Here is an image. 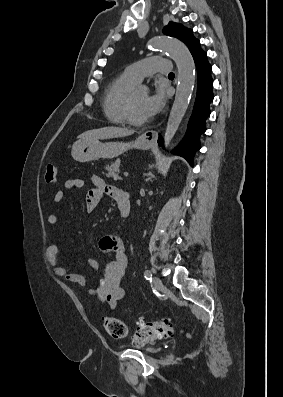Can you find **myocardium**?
<instances>
[{
	"label": "myocardium",
	"instance_id": "f54148a6",
	"mask_svg": "<svg viewBox=\"0 0 283 397\" xmlns=\"http://www.w3.org/2000/svg\"><path fill=\"white\" fill-rule=\"evenodd\" d=\"M125 118L128 123L134 126H141L148 122V119H138L133 111L132 93L129 94L125 105Z\"/></svg>",
	"mask_w": 283,
	"mask_h": 397
}]
</instances>
